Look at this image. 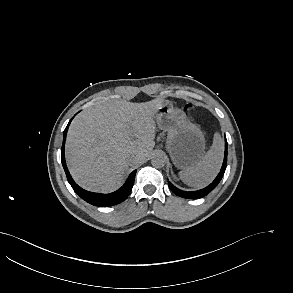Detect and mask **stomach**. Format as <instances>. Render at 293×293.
<instances>
[{
  "mask_svg": "<svg viewBox=\"0 0 293 293\" xmlns=\"http://www.w3.org/2000/svg\"><path fill=\"white\" fill-rule=\"evenodd\" d=\"M156 120L158 127L167 132L166 147L177 168H189L202 158L205 153L204 134L190 122L183 110L164 101Z\"/></svg>",
  "mask_w": 293,
  "mask_h": 293,
  "instance_id": "obj_1",
  "label": "stomach"
}]
</instances>
